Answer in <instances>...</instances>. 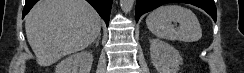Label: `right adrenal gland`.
I'll list each match as a JSON object with an SVG mask.
<instances>
[{
	"label": "right adrenal gland",
	"mask_w": 244,
	"mask_h": 73,
	"mask_svg": "<svg viewBox=\"0 0 244 73\" xmlns=\"http://www.w3.org/2000/svg\"><path fill=\"white\" fill-rule=\"evenodd\" d=\"M100 39H101V35L99 34L98 38L94 41V43L96 44V46L99 45Z\"/></svg>",
	"instance_id": "1"
}]
</instances>
